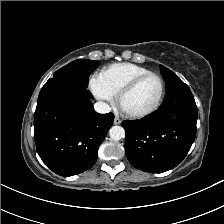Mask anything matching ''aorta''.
I'll return each mask as SVG.
<instances>
[{
  "mask_svg": "<svg viewBox=\"0 0 224 224\" xmlns=\"http://www.w3.org/2000/svg\"><path fill=\"white\" fill-rule=\"evenodd\" d=\"M109 136L114 141H119L125 137V130L121 126H112L109 130Z\"/></svg>",
  "mask_w": 224,
  "mask_h": 224,
  "instance_id": "1",
  "label": "aorta"
}]
</instances>
